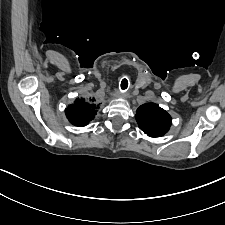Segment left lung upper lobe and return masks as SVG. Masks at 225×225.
Wrapping results in <instances>:
<instances>
[{"instance_id": "5c2ea615", "label": "left lung upper lobe", "mask_w": 225, "mask_h": 225, "mask_svg": "<svg viewBox=\"0 0 225 225\" xmlns=\"http://www.w3.org/2000/svg\"><path fill=\"white\" fill-rule=\"evenodd\" d=\"M136 120L140 129L150 137H161L168 132L172 118L155 103H147L137 109Z\"/></svg>"}]
</instances>
